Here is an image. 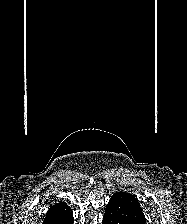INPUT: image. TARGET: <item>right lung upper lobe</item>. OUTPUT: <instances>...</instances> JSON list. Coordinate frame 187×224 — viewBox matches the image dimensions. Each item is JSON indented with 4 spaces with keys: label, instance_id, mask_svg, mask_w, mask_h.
<instances>
[{
    "label": "right lung upper lobe",
    "instance_id": "obj_1",
    "mask_svg": "<svg viewBox=\"0 0 187 224\" xmlns=\"http://www.w3.org/2000/svg\"><path fill=\"white\" fill-rule=\"evenodd\" d=\"M70 211H71V209L66 203H64V202L57 203L50 207V209L46 213V217L44 219L43 224H48V222H51L54 219H57L63 215H66Z\"/></svg>",
    "mask_w": 187,
    "mask_h": 224
}]
</instances>
